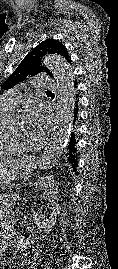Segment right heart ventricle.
I'll use <instances>...</instances> for the list:
<instances>
[{
	"label": "right heart ventricle",
	"instance_id": "e07e8e85",
	"mask_svg": "<svg viewBox=\"0 0 118 269\" xmlns=\"http://www.w3.org/2000/svg\"><path fill=\"white\" fill-rule=\"evenodd\" d=\"M12 113V110L0 107V156L17 154L22 150V145L6 127Z\"/></svg>",
	"mask_w": 118,
	"mask_h": 269
}]
</instances>
